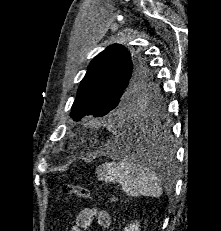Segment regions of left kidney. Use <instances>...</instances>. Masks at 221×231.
Returning a JSON list of instances; mask_svg holds the SVG:
<instances>
[{"mask_svg": "<svg viewBox=\"0 0 221 231\" xmlns=\"http://www.w3.org/2000/svg\"><path fill=\"white\" fill-rule=\"evenodd\" d=\"M140 224L138 222H135L133 224H130L129 226L125 227V231H140Z\"/></svg>", "mask_w": 221, "mask_h": 231, "instance_id": "5707ae66", "label": "left kidney"}]
</instances>
